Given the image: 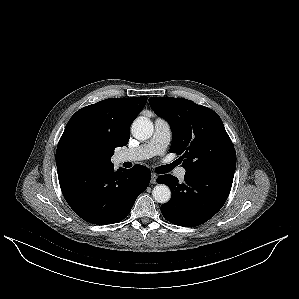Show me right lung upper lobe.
<instances>
[{
	"instance_id": "1",
	"label": "right lung upper lobe",
	"mask_w": 299,
	"mask_h": 299,
	"mask_svg": "<svg viewBox=\"0 0 299 299\" xmlns=\"http://www.w3.org/2000/svg\"><path fill=\"white\" fill-rule=\"evenodd\" d=\"M146 102L145 96L111 98L78 110L59 140L57 168L112 165L114 149L128 143L131 123Z\"/></svg>"
}]
</instances>
